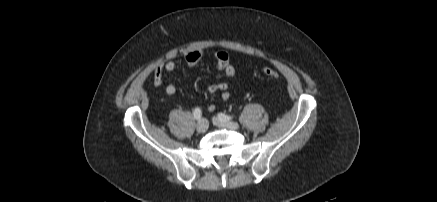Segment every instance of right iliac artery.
Segmentation results:
<instances>
[{"label": "right iliac artery", "instance_id": "82829eb1", "mask_svg": "<svg viewBox=\"0 0 437 202\" xmlns=\"http://www.w3.org/2000/svg\"><path fill=\"white\" fill-rule=\"evenodd\" d=\"M193 115H194V118L196 120H200L201 116H202L201 109L200 108H195L194 111H193Z\"/></svg>", "mask_w": 437, "mask_h": 202}]
</instances>
